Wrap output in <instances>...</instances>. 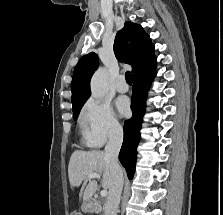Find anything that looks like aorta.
<instances>
[{
    "label": "aorta",
    "instance_id": "762f6f07",
    "mask_svg": "<svg viewBox=\"0 0 223 215\" xmlns=\"http://www.w3.org/2000/svg\"><path fill=\"white\" fill-rule=\"evenodd\" d=\"M91 98H102L108 92L107 86V70L106 68H98L90 82Z\"/></svg>",
    "mask_w": 223,
    "mask_h": 215
}]
</instances>
